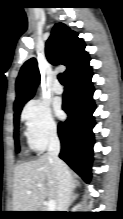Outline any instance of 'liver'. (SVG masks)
<instances>
[{
  "label": "liver",
  "mask_w": 123,
  "mask_h": 219,
  "mask_svg": "<svg viewBox=\"0 0 123 219\" xmlns=\"http://www.w3.org/2000/svg\"><path fill=\"white\" fill-rule=\"evenodd\" d=\"M70 179L74 173L68 168ZM75 182V180H73ZM38 184L41 186L38 187ZM31 191V194H27ZM58 179L53 160L44 154L15 168L13 185L14 211H37L46 197L57 201Z\"/></svg>",
  "instance_id": "liver-1"
}]
</instances>
